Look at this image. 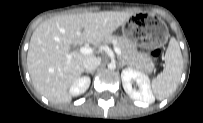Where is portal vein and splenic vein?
<instances>
[{"label":"portal vein and splenic vein","instance_id":"18ae733b","mask_svg":"<svg viewBox=\"0 0 203 123\" xmlns=\"http://www.w3.org/2000/svg\"><path fill=\"white\" fill-rule=\"evenodd\" d=\"M114 51L116 52L117 55H121V50L117 46H114ZM80 52L84 55H91L93 53V50L88 46H84L80 48ZM70 59L71 55H68L67 57L68 62L70 61Z\"/></svg>","mask_w":203,"mask_h":123}]
</instances>
